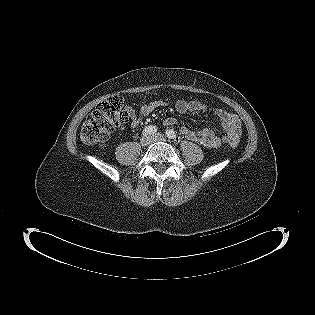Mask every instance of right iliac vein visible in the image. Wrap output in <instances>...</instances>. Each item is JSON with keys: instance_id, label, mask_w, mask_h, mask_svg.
I'll list each match as a JSON object with an SVG mask.
<instances>
[{"instance_id": "63e3f726", "label": "right iliac vein", "mask_w": 315, "mask_h": 315, "mask_svg": "<svg viewBox=\"0 0 315 315\" xmlns=\"http://www.w3.org/2000/svg\"><path fill=\"white\" fill-rule=\"evenodd\" d=\"M150 143H151V137H149V136H143V137L140 139V144H141L143 147L148 146Z\"/></svg>"}]
</instances>
